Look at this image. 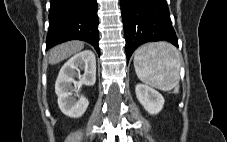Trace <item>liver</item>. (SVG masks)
Here are the masks:
<instances>
[{
  "label": "liver",
  "mask_w": 227,
  "mask_h": 142,
  "mask_svg": "<svg viewBox=\"0 0 227 142\" xmlns=\"http://www.w3.org/2000/svg\"><path fill=\"white\" fill-rule=\"evenodd\" d=\"M83 48L84 42L81 41H70L57 45L49 52V63L52 65L57 64L81 51Z\"/></svg>",
  "instance_id": "1"
}]
</instances>
